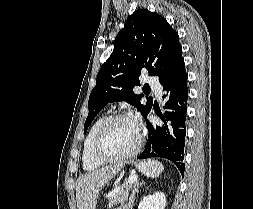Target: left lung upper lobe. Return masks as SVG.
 Returning a JSON list of instances; mask_svg holds the SVG:
<instances>
[{"label": "left lung upper lobe", "instance_id": "1", "mask_svg": "<svg viewBox=\"0 0 253 209\" xmlns=\"http://www.w3.org/2000/svg\"><path fill=\"white\" fill-rule=\"evenodd\" d=\"M182 48L178 33L165 18L147 9L130 15L114 40V49L102 65L96 86L89 97V114L84 133L99 113L110 102L126 101L136 107L147 120L153 98L140 103L143 94L137 95L133 88L140 85L139 75L147 69L151 76L162 81L182 60Z\"/></svg>", "mask_w": 253, "mask_h": 209}]
</instances>
